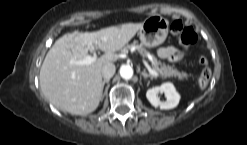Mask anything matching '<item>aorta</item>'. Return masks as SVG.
<instances>
[{
    "instance_id": "obj_1",
    "label": "aorta",
    "mask_w": 247,
    "mask_h": 145,
    "mask_svg": "<svg viewBox=\"0 0 247 145\" xmlns=\"http://www.w3.org/2000/svg\"><path fill=\"white\" fill-rule=\"evenodd\" d=\"M120 75L123 79H131L133 76V69L129 65H122L120 67Z\"/></svg>"
}]
</instances>
